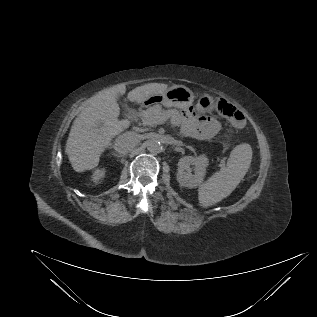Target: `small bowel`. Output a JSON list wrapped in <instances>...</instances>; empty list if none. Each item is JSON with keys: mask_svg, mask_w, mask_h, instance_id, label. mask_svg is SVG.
I'll return each mask as SVG.
<instances>
[{"mask_svg": "<svg viewBox=\"0 0 317 317\" xmlns=\"http://www.w3.org/2000/svg\"><path fill=\"white\" fill-rule=\"evenodd\" d=\"M173 123L184 136L199 140L212 138L220 130V123L210 115H201L199 118L187 114L176 115Z\"/></svg>", "mask_w": 317, "mask_h": 317, "instance_id": "small-bowel-1", "label": "small bowel"}]
</instances>
